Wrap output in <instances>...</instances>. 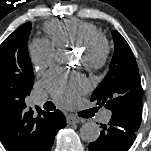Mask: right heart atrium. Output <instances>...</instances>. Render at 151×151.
Returning <instances> with one entry per match:
<instances>
[{
	"label": "right heart atrium",
	"mask_w": 151,
	"mask_h": 151,
	"mask_svg": "<svg viewBox=\"0 0 151 151\" xmlns=\"http://www.w3.org/2000/svg\"><path fill=\"white\" fill-rule=\"evenodd\" d=\"M28 55L36 70L50 66L56 56V45L51 40L34 39L28 47Z\"/></svg>",
	"instance_id": "right-heart-atrium-1"
}]
</instances>
